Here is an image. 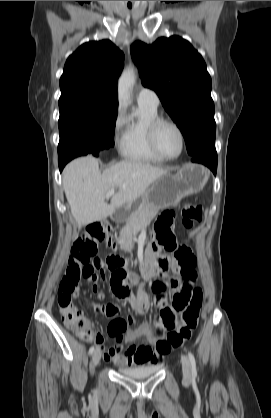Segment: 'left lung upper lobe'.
<instances>
[{"label":"left lung upper lobe","instance_id":"1","mask_svg":"<svg viewBox=\"0 0 271 418\" xmlns=\"http://www.w3.org/2000/svg\"><path fill=\"white\" fill-rule=\"evenodd\" d=\"M142 83L153 89L181 130L188 154L215 149L216 123L211 77L202 56L179 36L158 38L153 44H132Z\"/></svg>","mask_w":271,"mask_h":418}]
</instances>
